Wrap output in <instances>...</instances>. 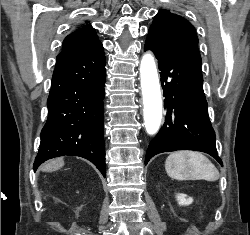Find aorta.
Here are the masks:
<instances>
[{
	"mask_svg": "<svg viewBox=\"0 0 250 235\" xmlns=\"http://www.w3.org/2000/svg\"><path fill=\"white\" fill-rule=\"evenodd\" d=\"M141 88L144 104V125L148 134H155L162 119V100L158 73L153 56L146 53L140 64Z\"/></svg>",
	"mask_w": 250,
	"mask_h": 235,
	"instance_id": "obj_1",
	"label": "aorta"
}]
</instances>
